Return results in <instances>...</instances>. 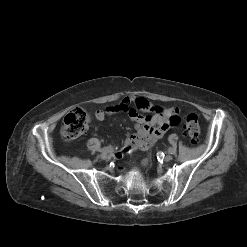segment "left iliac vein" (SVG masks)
I'll use <instances>...</instances> for the list:
<instances>
[{"instance_id": "left-iliac-vein-1", "label": "left iliac vein", "mask_w": 247, "mask_h": 247, "mask_svg": "<svg viewBox=\"0 0 247 247\" xmlns=\"http://www.w3.org/2000/svg\"><path fill=\"white\" fill-rule=\"evenodd\" d=\"M172 160V155H170V154H167L165 157H164V161L165 162H169V161H171Z\"/></svg>"}]
</instances>
